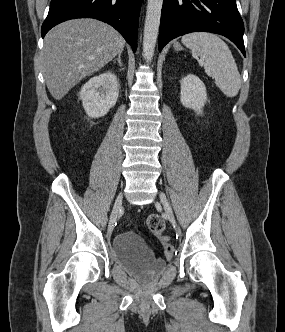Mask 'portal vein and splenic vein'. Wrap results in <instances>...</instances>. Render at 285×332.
<instances>
[{
    "mask_svg": "<svg viewBox=\"0 0 285 332\" xmlns=\"http://www.w3.org/2000/svg\"><path fill=\"white\" fill-rule=\"evenodd\" d=\"M200 65H203V62H200Z\"/></svg>",
    "mask_w": 285,
    "mask_h": 332,
    "instance_id": "18ae733b",
    "label": "portal vein and splenic vein"
}]
</instances>
